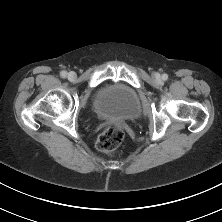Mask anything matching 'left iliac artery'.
Here are the masks:
<instances>
[{"mask_svg": "<svg viewBox=\"0 0 222 222\" xmlns=\"http://www.w3.org/2000/svg\"><path fill=\"white\" fill-rule=\"evenodd\" d=\"M162 78H163V80H167L168 79V75L164 74Z\"/></svg>", "mask_w": 222, "mask_h": 222, "instance_id": "1", "label": "left iliac artery"}]
</instances>
